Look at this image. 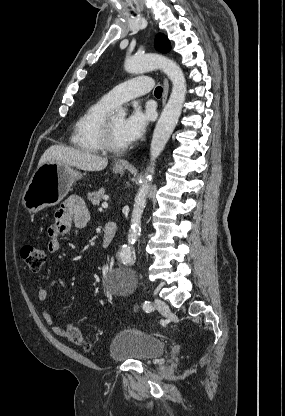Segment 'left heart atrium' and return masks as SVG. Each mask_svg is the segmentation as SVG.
<instances>
[{
  "label": "left heart atrium",
  "mask_w": 285,
  "mask_h": 416,
  "mask_svg": "<svg viewBox=\"0 0 285 416\" xmlns=\"http://www.w3.org/2000/svg\"><path fill=\"white\" fill-rule=\"evenodd\" d=\"M148 120L149 115L140 108L134 107L132 109L121 126V136L126 146L138 141L143 136Z\"/></svg>",
  "instance_id": "left-heart-atrium-1"
}]
</instances>
